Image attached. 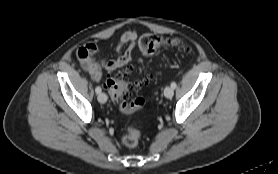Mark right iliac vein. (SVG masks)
Segmentation results:
<instances>
[{
    "label": "right iliac vein",
    "mask_w": 278,
    "mask_h": 174,
    "mask_svg": "<svg viewBox=\"0 0 278 174\" xmlns=\"http://www.w3.org/2000/svg\"><path fill=\"white\" fill-rule=\"evenodd\" d=\"M98 101L100 103H105L107 101V95L105 93H99Z\"/></svg>",
    "instance_id": "right-iliac-vein-1"
}]
</instances>
